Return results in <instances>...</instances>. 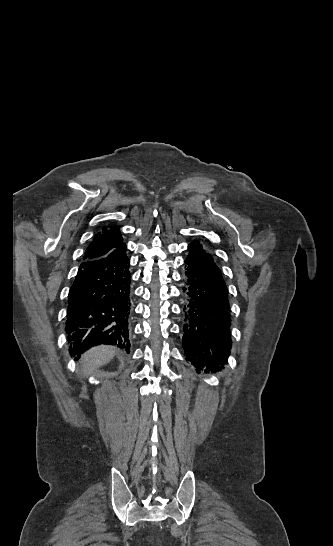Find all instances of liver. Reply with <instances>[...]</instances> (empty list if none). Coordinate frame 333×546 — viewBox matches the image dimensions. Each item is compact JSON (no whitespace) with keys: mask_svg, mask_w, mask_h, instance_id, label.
<instances>
[{"mask_svg":"<svg viewBox=\"0 0 333 546\" xmlns=\"http://www.w3.org/2000/svg\"><path fill=\"white\" fill-rule=\"evenodd\" d=\"M115 356V349L110 346H98L90 349L83 356L84 374H93L100 366L110 362Z\"/></svg>","mask_w":333,"mask_h":546,"instance_id":"1","label":"liver"}]
</instances>
